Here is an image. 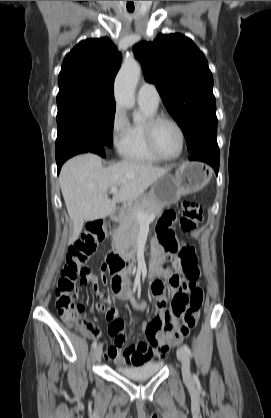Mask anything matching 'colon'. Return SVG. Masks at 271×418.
I'll use <instances>...</instances> for the list:
<instances>
[{
  "label": "colon",
  "instance_id": "obj_1",
  "mask_svg": "<svg viewBox=\"0 0 271 418\" xmlns=\"http://www.w3.org/2000/svg\"><path fill=\"white\" fill-rule=\"evenodd\" d=\"M174 215L163 214L157 225L158 242L167 251L176 253L179 261V271L190 283H195L199 277L197 257L189 245L180 246L170 228ZM202 221V207L193 201H185L181 206L180 230L188 233L194 230ZM105 236L102 222L95 221L87 226L85 234L70 247L65 263L57 280L55 299L58 313L62 320L71 326L93 330V324L84 316V306L77 302V282L84 283L91 275L90 270L83 266L95 252L99 242ZM179 277V276H177ZM116 278H119L116 276ZM204 301V292L197 285L190 286L186 291L174 296L173 308L182 315L178 324L168 315L163 324V330L169 334V343L177 345L188 337L190 331L198 322L199 313Z\"/></svg>",
  "mask_w": 271,
  "mask_h": 418
}]
</instances>
